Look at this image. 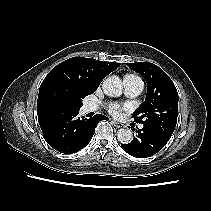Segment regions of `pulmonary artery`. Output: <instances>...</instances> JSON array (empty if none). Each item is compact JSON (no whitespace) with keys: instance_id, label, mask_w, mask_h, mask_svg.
<instances>
[{"instance_id":"e3ab8cb5","label":"pulmonary artery","mask_w":211,"mask_h":211,"mask_svg":"<svg viewBox=\"0 0 211 211\" xmlns=\"http://www.w3.org/2000/svg\"><path fill=\"white\" fill-rule=\"evenodd\" d=\"M124 84V91L128 97H137L140 95L144 90V82L143 80L134 75H127L123 79ZM87 111H94L96 110V106L93 104H88L86 106ZM139 128H143V125L140 124Z\"/></svg>"}]
</instances>
